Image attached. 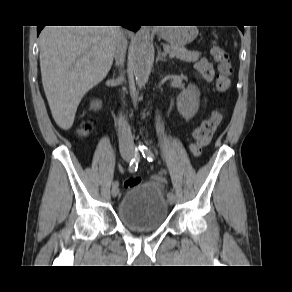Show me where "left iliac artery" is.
<instances>
[{
  "label": "left iliac artery",
  "mask_w": 292,
  "mask_h": 292,
  "mask_svg": "<svg viewBox=\"0 0 292 292\" xmlns=\"http://www.w3.org/2000/svg\"><path fill=\"white\" fill-rule=\"evenodd\" d=\"M139 149H140L143 157L145 159H147L149 162H152L154 160V154L147 146L142 145L139 147ZM170 196H174L173 191H169L167 193V197H170Z\"/></svg>",
  "instance_id": "44dca946"
}]
</instances>
